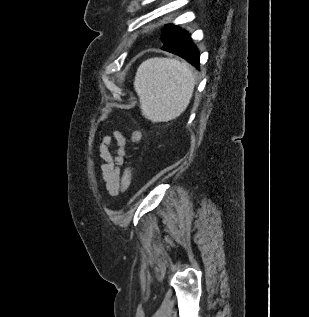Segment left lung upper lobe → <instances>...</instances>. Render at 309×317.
<instances>
[{"label": "left lung upper lobe", "instance_id": "obj_1", "mask_svg": "<svg viewBox=\"0 0 309 317\" xmlns=\"http://www.w3.org/2000/svg\"><path fill=\"white\" fill-rule=\"evenodd\" d=\"M182 31L183 30L179 26L166 24L162 31L161 42L163 44L168 43L169 41L177 37Z\"/></svg>", "mask_w": 309, "mask_h": 317}]
</instances>
